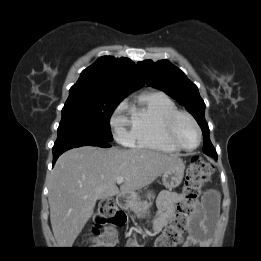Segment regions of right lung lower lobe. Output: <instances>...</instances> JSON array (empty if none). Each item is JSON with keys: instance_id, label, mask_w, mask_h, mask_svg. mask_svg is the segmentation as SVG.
Listing matches in <instances>:
<instances>
[{"instance_id": "98d812e1", "label": "right lung lower lobe", "mask_w": 261, "mask_h": 261, "mask_svg": "<svg viewBox=\"0 0 261 261\" xmlns=\"http://www.w3.org/2000/svg\"><path fill=\"white\" fill-rule=\"evenodd\" d=\"M81 146H99L102 148L110 147L107 142L99 141V140H79V141H72V142H65L58 145H54L53 147V165L55 164L57 158L65 151L81 147Z\"/></svg>"}]
</instances>
